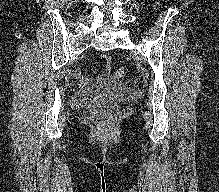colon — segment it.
<instances>
[{
  "mask_svg": "<svg viewBox=\"0 0 219 192\" xmlns=\"http://www.w3.org/2000/svg\"><path fill=\"white\" fill-rule=\"evenodd\" d=\"M105 58L108 59L107 57ZM125 74H126V70L123 67L116 68L113 71L114 77L119 78V79L124 78ZM101 123L103 124L104 122L102 121Z\"/></svg>",
  "mask_w": 219,
  "mask_h": 192,
  "instance_id": "obj_1",
  "label": "colon"
}]
</instances>
